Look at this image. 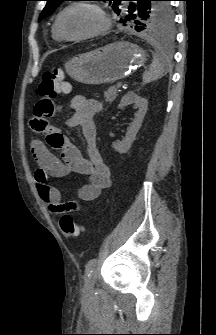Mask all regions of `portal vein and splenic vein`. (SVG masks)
<instances>
[{"mask_svg": "<svg viewBox=\"0 0 216 335\" xmlns=\"http://www.w3.org/2000/svg\"><path fill=\"white\" fill-rule=\"evenodd\" d=\"M122 85H123L122 81H119V82L117 83L116 87H117L118 89H120V88L122 87Z\"/></svg>", "mask_w": 216, "mask_h": 335, "instance_id": "1", "label": "portal vein and splenic vein"}]
</instances>
